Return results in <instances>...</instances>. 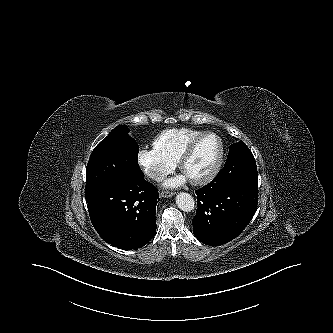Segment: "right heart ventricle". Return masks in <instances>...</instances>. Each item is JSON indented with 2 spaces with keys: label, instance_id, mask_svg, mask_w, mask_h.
I'll list each match as a JSON object with an SVG mask.
<instances>
[{
  "label": "right heart ventricle",
  "instance_id": "1",
  "mask_svg": "<svg viewBox=\"0 0 333 333\" xmlns=\"http://www.w3.org/2000/svg\"><path fill=\"white\" fill-rule=\"evenodd\" d=\"M202 133L188 128L165 130L155 138L153 147L158 153L178 162L186 146Z\"/></svg>",
  "mask_w": 333,
  "mask_h": 333
}]
</instances>
